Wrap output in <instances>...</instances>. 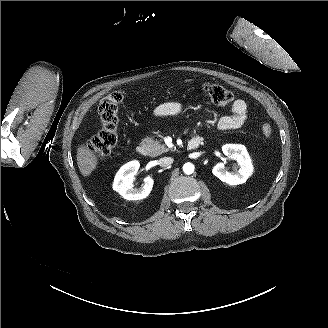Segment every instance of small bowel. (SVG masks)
Masks as SVG:
<instances>
[{
  "label": "small bowel",
  "instance_id": "small-bowel-1",
  "mask_svg": "<svg viewBox=\"0 0 328 328\" xmlns=\"http://www.w3.org/2000/svg\"><path fill=\"white\" fill-rule=\"evenodd\" d=\"M183 112L182 104L178 102H166L160 104L154 109L155 117H166L171 115L181 114ZM248 116L247 104L242 99H237L232 104V114L223 116L217 120V128L219 130H237L241 128Z\"/></svg>",
  "mask_w": 328,
  "mask_h": 328
}]
</instances>
